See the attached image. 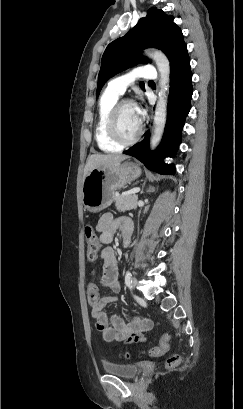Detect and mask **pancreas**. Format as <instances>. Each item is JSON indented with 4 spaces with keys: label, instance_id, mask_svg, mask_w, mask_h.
<instances>
[{
    "label": "pancreas",
    "instance_id": "pancreas-1",
    "mask_svg": "<svg viewBox=\"0 0 243 409\" xmlns=\"http://www.w3.org/2000/svg\"><path fill=\"white\" fill-rule=\"evenodd\" d=\"M137 200L138 196L135 194H130V195H120V194H115L114 195V201H115V206L116 209L120 212H126L132 209L137 208Z\"/></svg>",
    "mask_w": 243,
    "mask_h": 409
}]
</instances>
